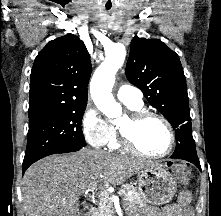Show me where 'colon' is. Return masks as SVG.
<instances>
[{"label": "colon", "mask_w": 221, "mask_h": 216, "mask_svg": "<svg viewBox=\"0 0 221 216\" xmlns=\"http://www.w3.org/2000/svg\"><path fill=\"white\" fill-rule=\"evenodd\" d=\"M172 170L176 174V176L182 181H186L189 175V168L187 165L183 163H174L172 165Z\"/></svg>", "instance_id": "1"}]
</instances>
